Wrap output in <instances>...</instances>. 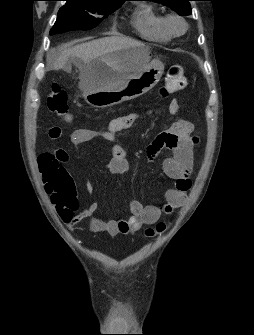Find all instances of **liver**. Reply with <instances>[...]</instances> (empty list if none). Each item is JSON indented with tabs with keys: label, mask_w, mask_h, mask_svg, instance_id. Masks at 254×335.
I'll return each mask as SVG.
<instances>
[{
	"label": "liver",
	"mask_w": 254,
	"mask_h": 335,
	"mask_svg": "<svg viewBox=\"0 0 254 335\" xmlns=\"http://www.w3.org/2000/svg\"><path fill=\"white\" fill-rule=\"evenodd\" d=\"M142 45L140 42L124 37L111 36L92 40L74 47L63 49L53 63V69L69 68V60L76 63L80 70V88L81 81L89 69L90 63L100 57H109L113 52ZM129 77L128 74L120 73L115 75L110 81V85H119Z\"/></svg>",
	"instance_id": "liver-1"
}]
</instances>
